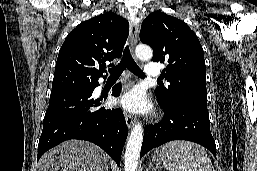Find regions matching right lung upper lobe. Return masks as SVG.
<instances>
[{"label": "right lung upper lobe", "instance_id": "obj_1", "mask_svg": "<svg viewBox=\"0 0 257 171\" xmlns=\"http://www.w3.org/2000/svg\"><path fill=\"white\" fill-rule=\"evenodd\" d=\"M128 34V21L113 12L79 24L61 46L52 90L98 82L105 62L121 57Z\"/></svg>", "mask_w": 257, "mask_h": 171}]
</instances>
